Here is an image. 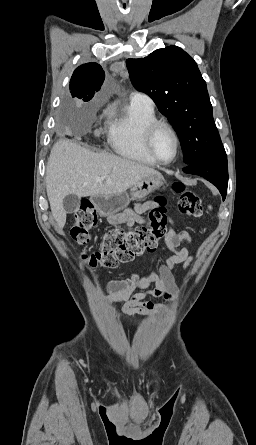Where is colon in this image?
Segmentation results:
<instances>
[{"label":"colon","mask_w":256,"mask_h":445,"mask_svg":"<svg viewBox=\"0 0 256 445\" xmlns=\"http://www.w3.org/2000/svg\"><path fill=\"white\" fill-rule=\"evenodd\" d=\"M172 190L179 195L178 208L182 215L194 218L202 215V200L196 193L187 190L180 182L173 183ZM154 202L156 206L147 214L144 224L128 231L109 230L103 237L101 248L92 253H83V259L93 268H112L143 253L155 251L166 236L168 219L165 213L166 198L159 196ZM97 224L98 216L93 204L85 201L74 213L70 236L77 244L84 245L89 241V231Z\"/></svg>","instance_id":"obj_1"}]
</instances>
